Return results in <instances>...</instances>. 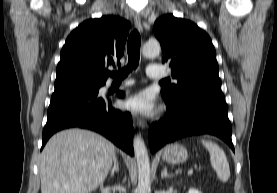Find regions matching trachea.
<instances>
[{
    "label": "trachea",
    "instance_id": "1",
    "mask_svg": "<svg viewBox=\"0 0 277 193\" xmlns=\"http://www.w3.org/2000/svg\"><path fill=\"white\" fill-rule=\"evenodd\" d=\"M140 44V34L137 30H133L128 38L127 44L128 65L123 69L120 68L117 72L110 74L115 79V81L123 80L133 69L138 67L140 58ZM162 82H167V80H162Z\"/></svg>",
    "mask_w": 277,
    "mask_h": 193
}]
</instances>
